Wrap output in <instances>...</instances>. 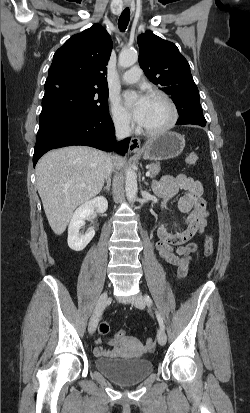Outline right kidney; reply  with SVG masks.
<instances>
[{"mask_svg": "<svg viewBox=\"0 0 250 413\" xmlns=\"http://www.w3.org/2000/svg\"><path fill=\"white\" fill-rule=\"evenodd\" d=\"M107 208L108 202L106 198L98 196L84 202L75 210L68 227V246L72 250L77 252L82 251L95 235L93 228H89L85 234L79 232L80 228L85 224V219L90 218L95 209L98 213L102 214Z\"/></svg>", "mask_w": 250, "mask_h": 413, "instance_id": "obj_1", "label": "right kidney"}]
</instances>
